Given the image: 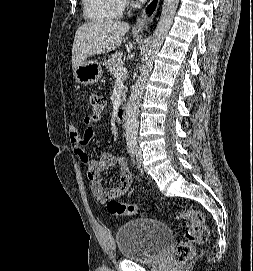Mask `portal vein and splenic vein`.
Segmentation results:
<instances>
[{
	"mask_svg": "<svg viewBox=\"0 0 253 271\" xmlns=\"http://www.w3.org/2000/svg\"><path fill=\"white\" fill-rule=\"evenodd\" d=\"M116 74L119 77H123L124 75L127 74V69L125 67H118L116 68Z\"/></svg>",
	"mask_w": 253,
	"mask_h": 271,
	"instance_id": "portal-vein-and-splenic-vein-1",
	"label": "portal vein and splenic vein"
}]
</instances>
